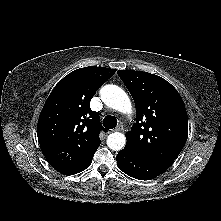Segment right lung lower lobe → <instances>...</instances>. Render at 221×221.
Listing matches in <instances>:
<instances>
[{
    "label": "right lung lower lobe",
    "mask_w": 221,
    "mask_h": 221,
    "mask_svg": "<svg viewBox=\"0 0 221 221\" xmlns=\"http://www.w3.org/2000/svg\"><path fill=\"white\" fill-rule=\"evenodd\" d=\"M94 153L83 164H81L79 167H77L76 169L70 171L69 173H67L65 175L77 174V173L85 170L86 168H88L92 162V158H93Z\"/></svg>",
    "instance_id": "1"
}]
</instances>
